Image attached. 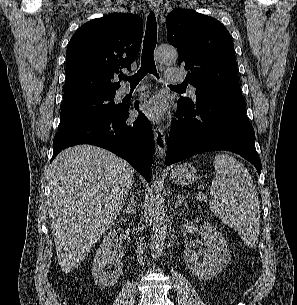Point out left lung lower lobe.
Wrapping results in <instances>:
<instances>
[{
  "label": "left lung lower lobe",
  "mask_w": 297,
  "mask_h": 305,
  "mask_svg": "<svg viewBox=\"0 0 297 305\" xmlns=\"http://www.w3.org/2000/svg\"><path fill=\"white\" fill-rule=\"evenodd\" d=\"M245 109L238 84L196 98L192 103L179 99L167 144L166 165L195 154L226 150L244 157L260 174L255 133Z\"/></svg>",
  "instance_id": "left-lung-lower-lobe-1"
}]
</instances>
